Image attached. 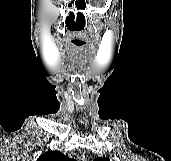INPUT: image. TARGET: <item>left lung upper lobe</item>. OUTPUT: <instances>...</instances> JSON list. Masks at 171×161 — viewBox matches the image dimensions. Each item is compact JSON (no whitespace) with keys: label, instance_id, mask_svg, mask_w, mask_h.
Returning <instances> with one entry per match:
<instances>
[{"label":"left lung upper lobe","instance_id":"1","mask_svg":"<svg viewBox=\"0 0 171 161\" xmlns=\"http://www.w3.org/2000/svg\"><path fill=\"white\" fill-rule=\"evenodd\" d=\"M94 161H110L108 158H96Z\"/></svg>","mask_w":171,"mask_h":161}]
</instances>
